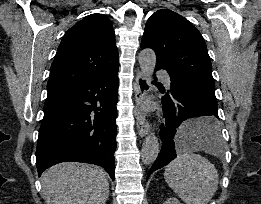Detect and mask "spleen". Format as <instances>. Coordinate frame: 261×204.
<instances>
[{
	"label": "spleen",
	"mask_w": 261,
	"mask_h": 204,
	"mask_svg": "<svg viewBox=\"0 0 261 204\" xmlns=\"http://www.w3.org/2000/svg\"><path fill=\"white\" fill-rule=\"evenodd\" d=\"M207 118L187 121L182 124L181 131L194 137L195 127ZM217 141L195 139L190 143L192 149L206 151L217 150ZM164 178L169 187L186 204H207L218 188L219 175L212 163L192 151L181 152L170 162L164 171Z\"/></svg>",
	"instance_id": "3e777b00"
}]
</instances>
